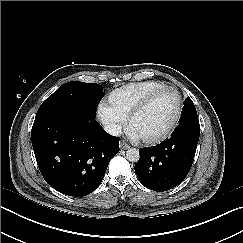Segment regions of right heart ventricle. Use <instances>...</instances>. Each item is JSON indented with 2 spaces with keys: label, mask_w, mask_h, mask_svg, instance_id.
I'll return each mask as SVG.
<instances>
[{
  "label": "right heart ventricle",
  "mask_w": 243,
  "mask_h": 243,
  "mask_svg": "<svg viewBox=\"0 0 243 243\" xmlns=\"http://www.w3.org/2000/svg\"><path fill=\"white\" fill-rule=\"evenodd\" d=\"M165 87L164 83L156 80L128 84L110 95L109 107L116 115L124 119L142 100Z\"/></svg>",
  "instance_id": "obj_1"
}]
</instances>
